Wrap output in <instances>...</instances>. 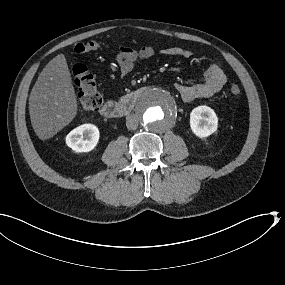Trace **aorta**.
I'll list each match as a JSON object with an SVG mask.
<instances>
[{"instance_id":"obj_1","label":"aorta","mask_w":285,"mask_h":285,"mask_svg":"<svg viewBox=\"0 0 285 285\" xmlns=\"http://www.w3.org/2000/svg\"><path fill=\"white\" fill-rule=\"evenodd\" d=\"M133 110L139 125L154 134L171 130L180 115L179 104L173 93L158 85L141 90L135 98Z\"/></svg>"}]
</instances>
